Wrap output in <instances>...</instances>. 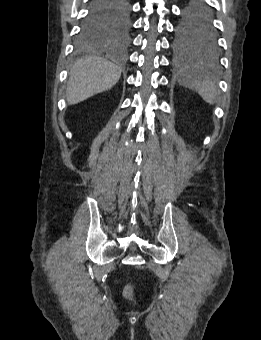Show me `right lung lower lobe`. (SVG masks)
I'll return each instance as SVG.
<instances>
[{
	"instance_id": "right-lung-lower-lobe-1",
	"label": "right lung lower lobe",
	"mask_w": 261,
	"mask_h": 340,
	"mask_svg": "<svg viewBox=\"0 0 261 340\" xmlns=\"http://www.w3.org/2000/svg\"><path fill=\"white\" fill-rule=\"evenodd\" d=\"M129 5L128 0H92L89 14L114 16L124 11Z\"/></svg>"
}]
</instances>
